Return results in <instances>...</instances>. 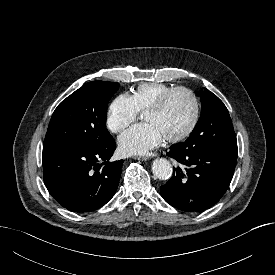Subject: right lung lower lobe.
Returning a JSON list of instances; mask_svg holds the SVG:
<instances>
[{"label": "right lung lower lobe", "instance_id": "right-lung-lower-lobe-1", "mask_svg": "<svg viewBox=\"0 0 275 275\" xmlns=\"http://www.w3.org/2000/svg\"><path fill=\"white\" fill-rule=\"evenodd\" d=\"M113 137L99 147H43L44 183L52 197L72 212H91L115 194L124 160L109 162Z\"/></svg>", "mask_w": 275, "mask_h": 275}]
</instances>
